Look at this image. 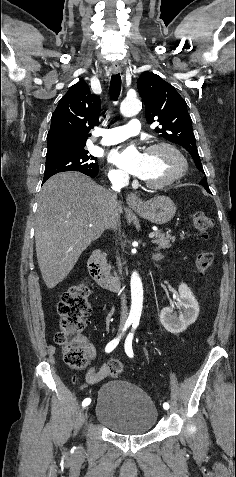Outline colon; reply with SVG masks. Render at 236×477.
<instances>
[{
  "instance_id": "obj_1",
  "label": "colon",
  "mask_w": 236,
  "mask_h": 477,
  "mask_svg": "<svg viewBox=\"0 0 236 477\" xmlns=\"http://www.w3.org/2000/svg\"><path fill=\"white\" fill-rule=\"evenodd\" d=\"M193 225L196 235L204 239L212 229L213 222L205 213L196 212ZM213 260V253H199L195 261L198 272L206 275ZM89 295L90 288L84 283H78L63 294L57 305L59 331L55 335V342L63 350L64 362L74 370H83L88 364L81 334L87 325V314L90 311ZM107 366L108 373L113 378L118 377L123 371V363L119 359H111Z\"/></svg>"
}]
</instances>
